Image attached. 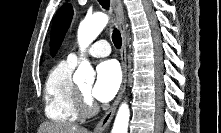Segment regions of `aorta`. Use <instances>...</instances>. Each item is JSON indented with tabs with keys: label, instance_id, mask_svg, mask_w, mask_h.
<instances>
[{
	"label": "aorta",
	"instance_id": "762f6f07",
	"mask_svg": "<svg viewBox=\"0 0 221 133\" xmlns=\"http://www.w3.org/2000/svg\"><path fill=\"white\" fill-rule=\"evenodd\" d=\"M108 16L104 13H97L86 17L78 28V43L81 51H84L96 37L102 32L108 23ZM95 72L88 60L83 59L78 69L74 73L73 80L93 83ZM130 118L129 106L122 103L117 111L116 118L111 133H127Z\"/></svg>",
	"mask_w": 221,
	"mask_h": 133
}]
</instances>
